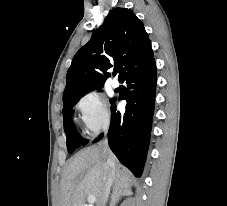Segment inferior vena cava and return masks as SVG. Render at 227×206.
<instances>
[{"label": "inferior vena cava", "mask_w": 227, "mask_h": 206, "mask_svg": "<svg viewBox=\"0 0 227 206\" xmlns=\"http://www.w3.org/2000/svg\"><path fill=\"white\" fill-rule=\"evenodd\" d=\"M102 149H103V153L105 155H107V159H106V162H105V168L110 171L112 174H114V171H115V163H114V160L112 158V153L109 149V146H108V141L107 139H105L102 143ZM111 184H112V180L110 179L108 181V184H107V188H106V194H105V197H104V201H103V204L102 206H104L107 198H108V195H109V191H110V187H111Z\"/></svg>", "instance_id": "602c4592"}]
</instances>
